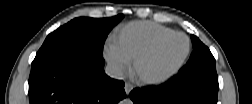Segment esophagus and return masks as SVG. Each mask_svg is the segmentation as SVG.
I'll list each match as a JSON object with an SVG mask.
<instances>
[{
  "instance_id": "obj_1",
  "label": "esophagus",
  "mask_w": 252,
  "mask_h": 104,
  "mask_svg": "<svg viewBox=\"0 0 252 104\" xmlns=\"http://www.w3.org/2000/svg\"><path fill=\"white\" fill-rule=\"evenodd\" d=\"M133 84H131V83H129V82H127V83H125V91H126V93L127 94H129L130 92H131V90L133 89Z\"/></svg>"
}]
</instances>
